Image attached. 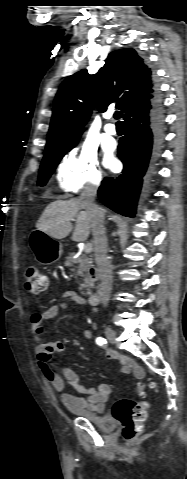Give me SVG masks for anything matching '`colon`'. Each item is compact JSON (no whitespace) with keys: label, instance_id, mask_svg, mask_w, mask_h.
I'll use <instances>...</instances> for the list:
<instances>
[{"label":"colon","instance_id":"5ec220e1","mask_svg":"<svg viewBox=\"0 0 187 479\" xmlns=\"http://www.w3.org/2000/svg\"><path fill=\"white\" fill-rule=\"evenodd\" d=\"M47 286L45 274L37 267H28L25 271V289L30 294L43 292ZM153 383L147 380L140 387L144 392L151 388ZM147 404L130 398H121L115 402L112 408L113 417L122 425L124 438L131 440L138 436L142 430V424L147 416Z\"/></svg>","mask_w":187,"mask_h":479}]
</instances>
